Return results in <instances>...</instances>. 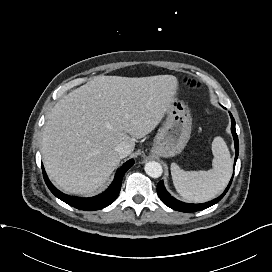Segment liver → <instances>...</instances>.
<instances>
[{
	"label": "liver",
	"mask_w": 272,
	"mask_h": 272,
	"mask_svg": "<svg viewBox=\"0 0 272 272\" xmlns=\"http://www.w3.org/2000/svg\"><path fill=\"white\" fill-rule=\"evenodd\" d=\"M173 75H100L60 99L48 115L41 151L49 178L63 191L91 195L122 159L115 147L146 136L175 100Z\"/></svg>",
	"instance_id": "1"
}]
</instances>
